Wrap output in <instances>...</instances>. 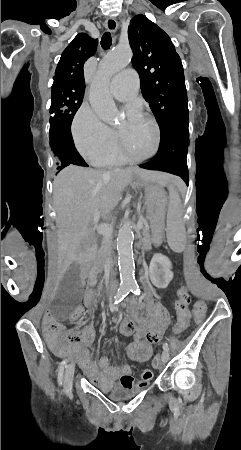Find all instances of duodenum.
Listing matches in <instances>:
<instances>
[{"label": "duodenum", "mask_w": 241, "mask_h": 450, "mask_svg": "<svg viewBox=\"0 0 241 450\" xmlns=\"http://www.w3.org/2000/svg\"><path fill=\"white\" fill-rule=\"evenodd\" d=\"M82 281L88 285L92 284V276H91L90 271H88V270L83 271ZM116 288H117V281L116 280L110 281L106 286L107 294H112Z\"/></svg>", "instance_id": "duodenum-1"}]
</instances>
